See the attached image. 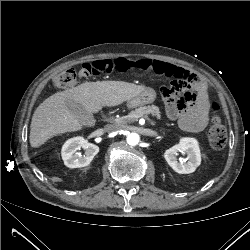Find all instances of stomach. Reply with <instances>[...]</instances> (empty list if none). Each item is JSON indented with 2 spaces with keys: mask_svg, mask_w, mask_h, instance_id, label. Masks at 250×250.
I'll use <instances>...</instances> for the list:
<instances>
[{
  "mask_svg": "<svg viewBox=\"0 0 250 250\" xmlns=\"http://www.w3.org/2000/svg\"><path fill=\"white\" fill-rule=\"evenodd\" d=\"M156 99V91L152 88H146L136 97L127 101V105L131 108L150 104Z\"/></svg>",
  "mask_w": 250,
  "mask_h": 250,
  "instance_id": "obj_1",
  "label": "stomach"
}]
</instances>
